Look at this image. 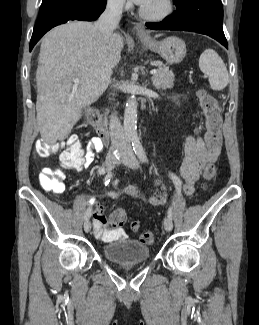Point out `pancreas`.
Returning <instances> with one entry per match:
<instances>
[{
    "label": "pancreas",
    "instance_id": "1",
    "mask_svg": "<svg viewBox=\"0 0 259 325\" xmlns=\"http://www.w3.org/2000/svg\"><path fill=\"white\" fill-rule=\"evenodd\" d=\"M157 73L153 75L152 82L156 89H170L174 85V74L168 67L156 64Z\"/></svg>",
    "mask_w": 259,
    "mask_h": 325
}]
</instances>
